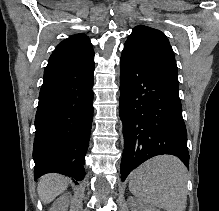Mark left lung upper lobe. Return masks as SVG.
Returning a JSON list of instances; mask_svg holds the SVG:
<instances>
[{
	"mask_svg": "<svg viewBox=\"0 0 219 211\" xmlns=\"http://www.w3.org/2000/svg\"><path fill=\"white\" fill-rule=\"evenodd\" d=\"M122 53L158 70L179 84L174 52L160 30L145 25L134 27Z\"/></svg>",
	"mask_w": 219,
	"mask_h": 211,
	"instance_id": "obj_1",
	"label": "left lung upper lobe"
}]
</instances>
